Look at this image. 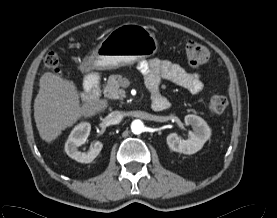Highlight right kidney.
Wrapping results in <instances>:
<instances>
[{"label": "right kidney", "instance_id": "right-kidney-1", "mask_svg": "<svg viewBox=\"0 0 277 218\" xmlns=\"http://www.w3.org/2000/svg\"><path fill=\"white\" fill-rule=\"evenodd\" d=\"M90 131V123L81 122L74 127L65 143V152L70 158L77 162L91 163L103 148V144L100 141H96L91 145V148L87 153L78 150V147L86 142Z\"/></svg>", "mask_w": 277, "mask_h": 218}]
</instances>
